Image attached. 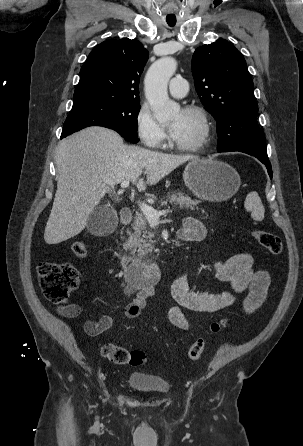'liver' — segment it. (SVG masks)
<instances>
[{
	"label": "liver",
	"instance_id": "6515ba94",
	"mask_svg": "<svg viewBox=\"0 0 303 446\" xmlns=\"http://www.w3.org/2000/svg\"><path fill=\"white\" fill-rule=\"evenodd\" d=\"M193 159L197 157L126 145L115 131L103 127H89L63 139L56 151L57 191L45 227V242L58 244L78 235L113 186L109 182L131 181L144 191L146 184H157ZM143 171L146 181L140 178Z\"/></svg>",
	"mask_w": 303,
	"mask_h": 446
}]
</instances>
